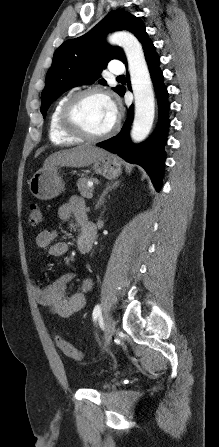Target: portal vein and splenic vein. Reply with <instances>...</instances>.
Wrapping results in <instances>:
<instances>
[{
    "mask_svg": "<svg viewBox=\"0 0 219 447\" xmlns=\"http://www.w3.org/2000/svg\"><path fill=\"white\" fill-rule=\"evenodd\" d=\"M87 185H88L89 187H91V188L93 187V183H92V182H88ZM90 198H92V195L90 196Z\"/></svg>",
    "mask_w": 219,
    "mask_h": 447,
    "instance_id": "1",
    "label": "portal vein and splenic vein"
}]
</instances>
